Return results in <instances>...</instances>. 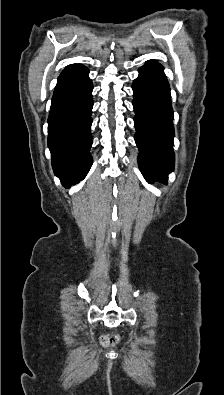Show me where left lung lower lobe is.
I'll return each instance as SVG.
<instances>
[{
    "label": "left lung lower lobe",
    "instance_id": "0a47b994",
    "mask_svg": "<svg viewBox=\"0 0 224 395\" xmlns=\"http://www.w3.org/2000/svg\"><path fill=\"white\" fill-rule=\"evenodd\" d=\"M139 72L132 85L138 163L148 182H166L174 169L170 87L163 67L155 61H148Z\"/></svg>",
    "mask_w": 224,
    "mask_h": 395
}]
</instances>
